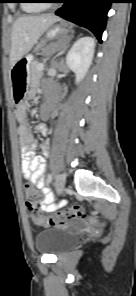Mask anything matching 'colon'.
Instances as JSON below:
<instances>
[{"mask_svg":"<svg viewBox=\"0 0 136 296\" xmlns=\"http://www.w3.org/2000/svg\"><path fill=\"white\" fill-rule=\"evenodd\" d=\"M25 197L32 220L38 225L59 226L65 224L71 219L86 218L84 211L77 205H68L51 215H44L39 209V204L42 199L41 193L28 185L26 186Z\"/></svg>","mask_w":136,"mask_h":296,"instance_id":"obj_1","label":"colon"}]
</instances>
